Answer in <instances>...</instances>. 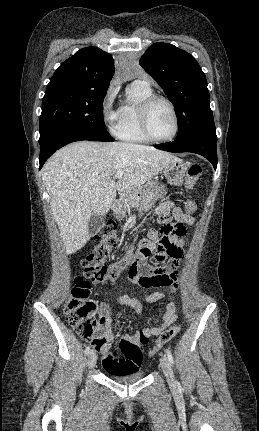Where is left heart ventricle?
Returning <instances> with one entry per match:
<instances>
[{
	"instance_id": "left-heart-ventricle-1",
	"label": "left heart ventricle",
	"mask_w": 259,
	"mask_h": 431,
	"mask_svg": "<svg viewBox=\"0 0 259 431\" xmlns=\"http://www.w3.org/2000/svg\"><path fill=\"white\" fill-rule=\"evenodd\" d=\"M150 130L154 137H169L174 129V120L170 108L164 102H156L150 111Z\"/></svg>"
}]
</instances>
